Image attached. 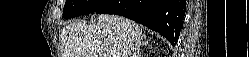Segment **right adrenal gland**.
Wrapping results in <instances>:
<instances>
[{"instance_id": "2a0ac1e0", "label": "right adrenal gland", "mask_w": 249, "mask_h": 57, "mask_svg": "<svg viewBox=\"0 0 249 57\" xmlns=\"http://www.w3.org/2000/svg\"><path fill=\"white\" fill-rule=\"evenodd\" d=\"M148 45V41L146 40V37L144 36V41H140L138 44H137V56L140 57V52H141V49L140 47L141 46H147Z\"/></svg>"}]
</instances>
